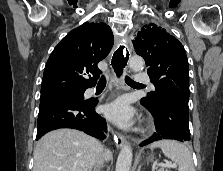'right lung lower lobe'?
Masks as SVG:
<instances>
[{
  "mask_svg": "<svg viewBox=\"0 0 223 171\" xmlns=\"http://www.w3.org/2000/svg\"><path fill=\"white\" fill-rule=\"evenodd\" d=\"M97 100L77 98H56L40 103L38 115V140L45 133L59 129L72 128L104 139L107 125L104 118L95 112Z\"/></svg>",
  "mask_w": 223,
  "mask_h": 171,
  "instance_id": "98d812e1",
  "label": "right lung lower lobe"
}]
</instances>
